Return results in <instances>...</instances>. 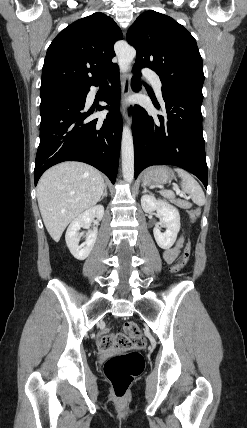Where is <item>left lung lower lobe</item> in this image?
<instances>
[{"label": "left lung lower lobe", "mask_w": 247, "mask_h": 428, "mask_svg": "<svg viewBox=\"0 0 247 428\" xmlns=\"http://www.w3.org/2000/svg\"><path fill=\"white\" fill-rule=\"evenodd\" d=\"M139 77L140 69L133 68ZM134 91L141 89L132 79ZM167 114L150 116L139 105L133 109L132 133L135 178L148 166L174 165L196 175L207 188V164L202 133V98L162 91ZM160 109L159 104H155Z\"/></svg>", "instance_id": "1"}]
</instances>
